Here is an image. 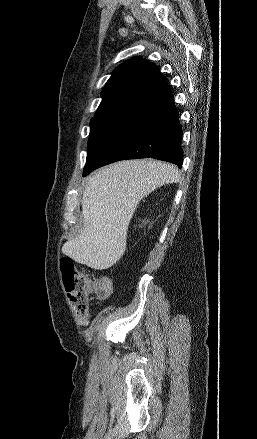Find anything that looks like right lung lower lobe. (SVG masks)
Masks as SVG:
<instances>
[{
	"label": "right lung lower lobe",
	"mask_w": 257,
	"mask_h": 439,
	"mask_svg": "<svg viewBox=\"0 0 257 439\" xmlns=\"http://www.w3.org/2000/svg\"><path fill=\"white\" fill-rule=\"evenodd\" d=\"M172 94L126 119L86 163L83 176L119 160L154 158L182 166V129Z\"/></svg>",
	"instance_id": "right-lung-lower-lobe-1"
}]
</instances>
